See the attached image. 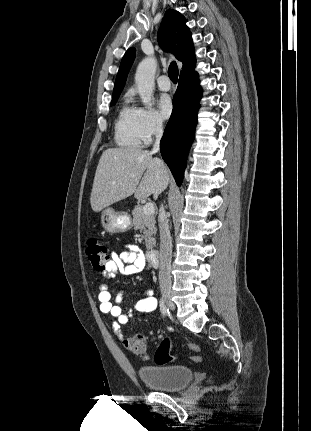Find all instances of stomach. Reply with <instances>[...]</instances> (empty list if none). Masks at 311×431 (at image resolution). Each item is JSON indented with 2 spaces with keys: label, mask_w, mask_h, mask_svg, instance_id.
<instances>
[{
  "label": "stomach",
  "mask_w": 311,
  "mask_h": 431,
  "mask_svg": "<svg viewBox=\"0 0 311 431\" xmlns=\"http://www.w3.org/2000/svg\"><path fill=\"white\" fill-rule=\"evenodd\" d=\"M100 223L109 233L128 231L133 227V219L128 212H114L113 208H106L101 212Z\"/></svg>",
  "instance_id": "obj_1"
}]
</instances>
